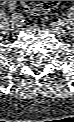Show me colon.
Returning <instances> with one entry per match:
<instances>
[{
    "mask_svg": "<svg viewBox=\"0 0 74 122\" xmlns=\"http://www.w3.org/2000/svg\"><path fill=\"white\" fill-rule=\"evenodd\" d=\"M58 1H21L23 7L35 13H45L53 8Z\"/></svg>",
    "mask_w": 74,
    "mask_h": 122,
    "instance_id": "1",
    "label": "colon"
}]
</instances>
